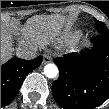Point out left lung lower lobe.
<instances>
[{"label":"left lung lower lobe","mask_w":109,"mask_h":109,"mask_svg":"<svg viewBox=\"0 0 109 109\" xmlns=\"http://www.w3.org/2000/svg\"><path fill=\"white\" fill-rule=\"evenodd\" d=\"M92 42L93 48L81 55L54 59L60 75L52 94L64 109H93L109 98V35L99 34Z\"/></svg>","instance_id":"left-lung-lower-lobe-1"}]
</instances>
